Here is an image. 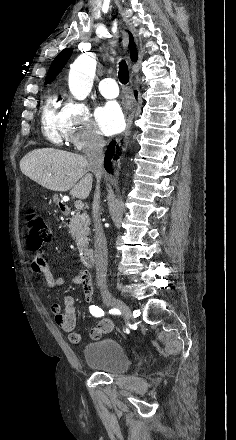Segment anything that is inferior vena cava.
Wrapping results in <instances>:
<instances>
[{"mask_svg": "<svg viewBox=\"0 0 236 440\" xmlns=\"http://www.w3.org/2000/svg\"><path fill=\"white\" fill-rule=\"evenodd\" d=\"M105 146L104 139L99 135L94 133L88 142V147L86 149V155L88 158L90 170L96 177L97 186L94 193L93 204H92V215L94 222L95 231V268H96V282L99 287H106L107 283V265H108V254H107V242L103 227L101 224L100 217V193H99V182L102 177V164H103V148Z\"/></svg>", "mask_w": 236, "mask_h": 440, "instance_id": "obj_1", "label": "inferior vena cava"}]
</instances>
